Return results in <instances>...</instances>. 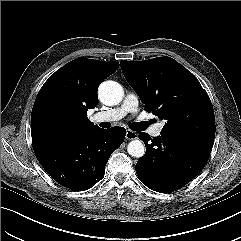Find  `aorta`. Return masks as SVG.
I'll list each match as a JSON object with an SVG mask.
<instances>
[{
    "mask_svg": "<svg viewBox=\"0 0 241 241\" xmlns=\"http://www.w3.org/2000/svg\"><path fill=\"white\" fill-rule=\"evenodd\" d=\"M98 94L104 104L117 105L122 101L123 88L119 83L109 80L100 84ZM127 151L132 157L140 158L145 154V146L141 140H132L127 146Z\"/></svg>",
    "mask_w": 241,
    "mask_h": 241,
    "instance_id": "aorta-1",
    "label": "aorta"
}]
</instances>
